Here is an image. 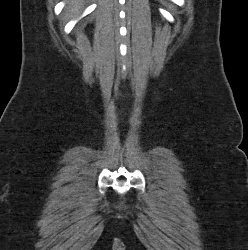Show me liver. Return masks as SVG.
<instances>
[{
	"label": "liver",
	"mask_w": 248,
	"mask_h": 250,
	"mask_svg": "<svg viewBox=\"0 0 248 250\" xmlns=\"http://www.w3.org/2000/svg\"><path fill=\"white\" fill-rule=\"evenodd\" d=\"M82 0H70L69 2V8L71 12H76L81 7Z\"/></svg>",
	"instance_id": "obj_1"
}]
</instances>
